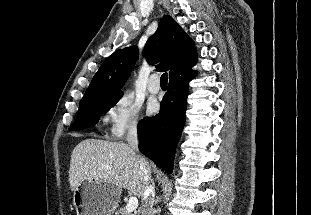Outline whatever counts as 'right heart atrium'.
Returning a JSON list of instances; mask_svg holds the SVG:
<instances>
[{
	"label": "right heart atrium",
	"instance_id": "obj_1",
	"mask_svg": "<svg viewBox=\"0 0 311 215\" xmlns=\"http://www.w3.org/2000/svg\"><path fill=\"white\" fill-rule=\"evenodd\" d=\"M141 106L130 94L121 95L109 111L104 122L113 138L135 135L139 129Z\"/></svg>",
	"mask_w": 311,
	"mask_h": 215
}]
</instances>
